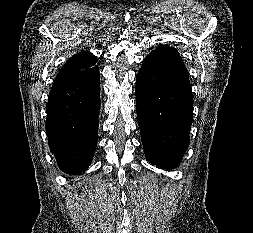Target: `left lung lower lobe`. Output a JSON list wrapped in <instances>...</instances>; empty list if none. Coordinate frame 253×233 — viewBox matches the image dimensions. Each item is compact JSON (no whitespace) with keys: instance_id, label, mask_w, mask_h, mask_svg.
Masks as SVG:
<instances>
[{"instance_id":"obj_1","label":"left lung lower lobe","mask_w":253,"mask_h":233,"mask_svg":"<svg viewBox=\"0 0 253 233\" xmlns=\"http://www.w3.org/2000/svg\"><path fill=\"white\" fill-rule=\"evenodd\" d=\"M136 109L146 159L172 169L189 145L193 97L177 50L160 45L143 60L136 78Z\"/></svg>"}]
</instances>
